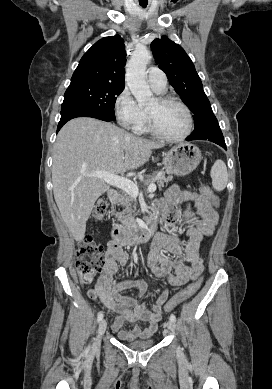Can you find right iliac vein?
<instances>
[{"mask_svg":"<svg viewBox=\"0 0 272 389\" xmlns=\"http://www.w3.org/2000/svg\"><path fill=\"white\" fill-rule=\"evenodd\" d=\"M106 327H107L106 320H104V319L101 320L99 323L97 336H96V339L94 341V345H93L94 348H98L100 346L101 339H102L103 334L105 333Z\"/></svg>","mask_w":272,"mask_h":389,"instance_id":"obj_1","label":"right iliac vein"}]
</instances>
